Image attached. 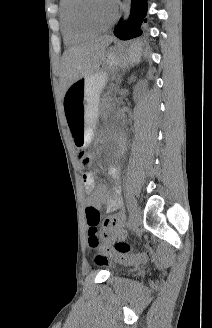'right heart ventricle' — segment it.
<instances>
[{"label":"right heart ventricle","instance_id":"right-heart-ventricle-1","mask_svg":"<svg viewBox=\"0 0 212 328\" xmlns=\"http://www.w3.org/2000/svg\"><path fill=\"white\" fill-rule=\"evenodd\" d=\"M74 0H60V22L64 40L68 44H75L90 38L95 32L78 27L72 19L71 8Z\"/></svg>","mask_w":212,"mask_h":328}]
</instances>
